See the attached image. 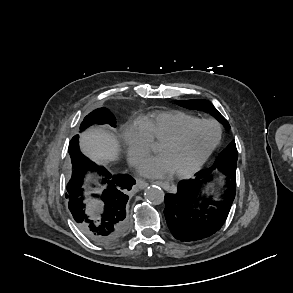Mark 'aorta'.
Here are the masks:
<instances>
[{
    "label": "aorta",
    "instance_id": "762f6f07",
    "mask_svg": "<svg viewBox=\"0 0 293 293\" xmlns=\"http://www.w3.org/2000/svg\"><path fill=\"white\" fill-rule=\"evenodd\" d=\"M144 196L148 202L159 205L164 201L165 193L159 186H150L145 190Z\"/></svg>",
    "mask_w": 293,
    "mask_h": 293
}]
</instances>
